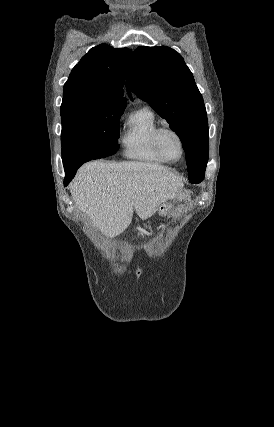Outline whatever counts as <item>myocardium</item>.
<instances>
[{
  "label": "myocardium",
  "instance_id": "1",
  "mask_svg": "<svg viewBox=\"0 0 274 427\" xmlns=\"http://www.w3.org/2000/svg\"><path fill=\"white\" fill-rule=\"evenodd\" d=\"M168 132L174 134L180 142L182 153H181V157L178 161H174V160L170 159L165 154V152L162 148V136H163V134L168 133ZM154 146H155L156 150L158 151V153L160 154V156L163 158V160L165 162H168L171 164H177V163L182 162L186 156V144H185L184 138L175 128H173L171 126H162V127H159L157 129L155 136H154Z\"/></svg>",
  "mask_w": 274,
  "mask_h": 427
}]
</instances>
